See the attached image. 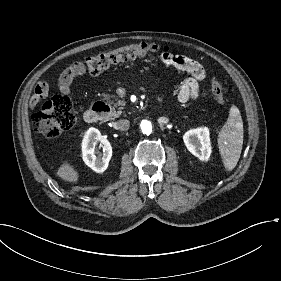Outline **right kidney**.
I'll use <instances>...</instances> for the list:
<instances>
[{
  "mask_svg": "<svg viewBox=\"0 0 281 281\" xmlns=\"http://www.w3.org/2000/svg\"><path fill=\"white\" fill-rule=\"evenodd\" d=\"M99 141L103 148V155L101 157L96 156L95 149V146ZM81 146L82 158L85 164L96 173H103L107 169L112 157V147L110 142L101 135L98 129L91 127L84 133Z\"/></svg>",
  "mask_w": 281,
  "mask_h": 281,
  "instance_id": "1",
  "label": "right kidney"
}]
</instances>
